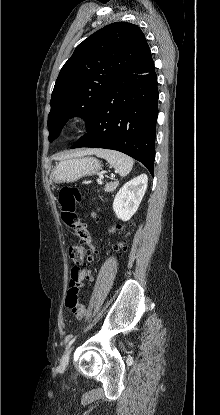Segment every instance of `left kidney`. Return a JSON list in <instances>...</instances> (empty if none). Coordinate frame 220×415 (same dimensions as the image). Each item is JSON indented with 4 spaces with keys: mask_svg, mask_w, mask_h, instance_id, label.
Instances as JSON below:
<instances>
[{
    "mask_svg": "<svg viewBox=\"0 0 220 415\" xmlns=\"http://www.w3.org/2000/svg\"><path fill=\"white\" fill-rule=\"evenodd\" d=\"M148 177L142 174L133 178L119 190L113 202L116 216L128 221L137 211L147 189Z\"/></svg>",
    "mask_w": 220,
    "mask_h": 415,
    "instance_id": "left-kidney-1",
    "label": "left kidney"
}]
</instances>
